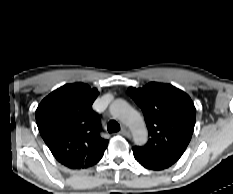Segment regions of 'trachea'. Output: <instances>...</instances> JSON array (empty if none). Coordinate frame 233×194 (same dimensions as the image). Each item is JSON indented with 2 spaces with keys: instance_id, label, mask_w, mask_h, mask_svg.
Wrapping results in <instances>:
<instances>
[{
  "instance_id": "1",
  "label": "trachea",
  "mask_w": 233,
  "mask_h": 194,
  "mask_svg": "<svg viewBox=\"0 0 233 194\" xmlns=\"http://www.w3.org/2000/svg\"><path fill=\"white\" fill-rule=\"evenodd\" d=\"M107 130L109 133H114L120 130V125L115 120H111L107 125Z\"/></svg>"
}]
</instances>
